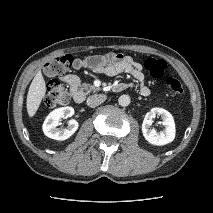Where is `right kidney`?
Returning a JSON list of instances; mask_svg holds the SVG:
<instances>
[{
  "mask_svg": "<svg viewBox=\"0 0 213 213\" xmlns=\"http://www.w3.org/2000/svg\"><path fill=\"white\" fill-rule=\"evenodd\" d=\"M74 114V109L70 106L61 107L53 110L45 119L43 123L44 134L54 140H66L72 136L78 129V122L70 120L68 126L63 129H58L59 121L61 118L71 117Z\"/></svg>",
  "mask_w": 213,
  "mask_h": 213,
  "instance_id": "ca27d5eb",
  "label": "right kidney"
}]
</instances>
